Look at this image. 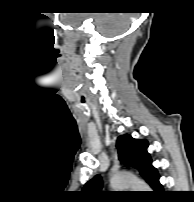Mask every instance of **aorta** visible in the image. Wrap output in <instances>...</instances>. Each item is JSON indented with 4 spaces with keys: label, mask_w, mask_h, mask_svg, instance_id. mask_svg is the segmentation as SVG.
Here are the masks:
<instances>
[{
    "label": "aorta",
    "mask_w": 194,
    "mask_h": 202,
    "mask_svg": "<svg viewBox=\"0 0 194 202\" xmlns=\"http://www.w3.org/2000/svg\"><path fill=\"white\" fill-rule=\"evenodd\" d=\"M110 184L115 191H122L127 188H132L135 191H150L146 183L131 175H115L111 178Z\"/></svg>",
    "instance_id": "obj_1"
}]
</instances>
